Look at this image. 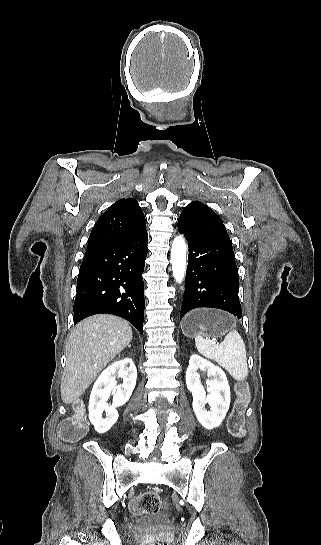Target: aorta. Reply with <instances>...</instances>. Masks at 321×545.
Wrapping results in <instances>:
<instances>
[{
  "label": "aorta",
  "instance_id": "762f6f07",
  "mask_svg": "<svg viewBox=\"0 0 321 545\" xmlns=\"http://www.w3.org/2000/svg\"><path fill=\"white\" fill-rule=\"evenodd\" d=\"M186 251L187 246L182 236H177L172 242L171 265L173 277L176 282L181 283L186 273Z\"/></svg>",
  "mask_w": 321,
  "mask_h": 545
}]
</instances>
